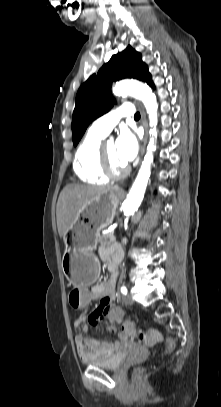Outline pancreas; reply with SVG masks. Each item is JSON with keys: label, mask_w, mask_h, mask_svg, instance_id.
Wrapping results in <instances>:
<instances>
[{"label": "pancreas", "mask_w": 221, "mask_h": 407, "mask_svg": "<svg viewBox=\"0 0 221 407\" xmlns=\"http://www.w3.org/2000/svg\"><path fill=\"white\" fill-rule=\"evenodd\" d=\"M114 241H115L114 232L102 234L98 238V242H99L100 246H104V247L110 246L111 243H113Z\"/></svg>", "instance_id": "pancreas-1"}]
</instances>
